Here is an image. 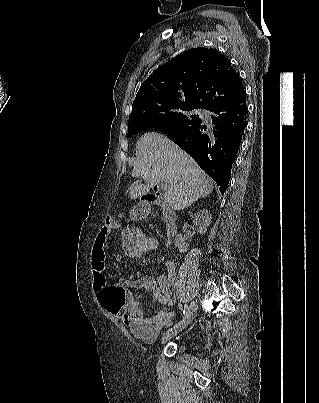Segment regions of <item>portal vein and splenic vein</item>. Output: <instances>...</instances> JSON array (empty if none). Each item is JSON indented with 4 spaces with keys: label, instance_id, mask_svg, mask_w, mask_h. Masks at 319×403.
<instances>
[{
    "label": "portal vein and splenic vein",
    "instance_id": "18ae733b",
    "mask_svg": "<svg viewBox=\"0 0 319 403\" xmlns=\"http://www.w3.org/2000/svg\"><path fill=\"white\" fill-rule=\"evenodd\" d=\"M161 188L166 190L167 186H166V184L164 182H161Z\"/></svg>",
    "mask_w": 319,
    "mask_h": 403
}]
</instances>
